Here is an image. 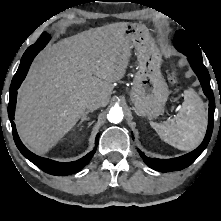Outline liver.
<instances>
[{"label": "liver", "instance_id": "6515ba94", "mask_svg": "<svg viewBox=\"0 0 221 221\" xmlns=\"http://www.w3.org/2000/svg\"><path fill=\"white\" fill-rule=\"evenodd\" d=\"M127 22L92 28L48 46L32 63L18 90L15 113L22 141L48 152L83 116L86 101L105 107L113 82L123 78L133 48Z\"/></svg>", "mask_w": 221, "mask_h": 221}]
</instances>
